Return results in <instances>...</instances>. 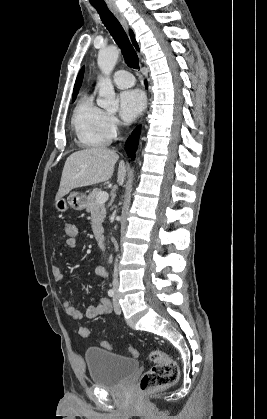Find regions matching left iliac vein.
Returning a JSON list of instances; mask_svg holds the SVG:
<instances>
[{
  "label": "left iliac vein",
  "instance_id": "1",
  "mask_svg": "<svg viewBox=\"0 0 267 419\" xmlns=\"http://www.w3.org/2000/svg\"><path fill=\"white\" fill-rule=\"evenodd\" d=\"M113 304H114V311L116 314H121V307L120 304L118 302V293L116 292L114 297H113Z\"/></svg>",
  "mask_w": 267,
  "mask_h": 419
}]
</instances>
